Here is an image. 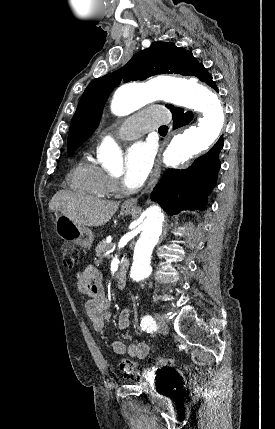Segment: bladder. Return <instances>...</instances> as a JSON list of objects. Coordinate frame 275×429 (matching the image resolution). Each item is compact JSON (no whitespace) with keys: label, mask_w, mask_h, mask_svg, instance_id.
Wrapping results in <instances>:
<instances>
[{"label":"bladder","mask_w":275,"mask_h":429,"mask_svg":"<svg viewBox=\"0 0 275 429\" xmlns=\"http://www.w3.org/2000/svg\"><path fill=\"white\" fill-rule=\"evenodd\" d=\"M142 393H167V384H142Z\"/></svg>","instance_id":"31cf9c89"}]
</instances>
